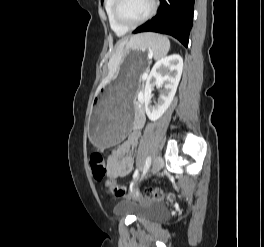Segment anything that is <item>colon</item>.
Returning a JSON list of instances; mask_svg holds the SVG:
<instances>
[{
	"instance_id": "obj_1",
	"label": "colon",
	"mask_w": 264,
	"mask_h": 247,
	"mask_svg": "<svg viewBox=\"0 0 264 247\" xmlns=\"http://www.w3.org/2000/svg\"><path fill=\"white\" fill-rule=\"evenodd\" d=\"M89 164L92 170V175L95 181H103L107 175L108 166L105 158L99 152H94L89 156ZM104 190L107 194L114 197H124L127 190L124 187L118 186L115 182L107 180L104 182ZM136 194L142 195L148 200L161 201L164 199L173 200V194H166L161 189L147 188L143 191H137Z\"/></svg>"
}]
</instances>
